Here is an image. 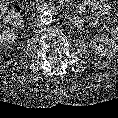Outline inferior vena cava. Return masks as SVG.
<instances>
[{"label": "inferior vena cava", "mask_w": 118, "mask_h": 118, "mask_svg": "<svg viewBox=\"0 0 118 118\" xmlns=\"http://www.w3.org/2000/svg\"><path fill=\"white\" fill-rule=\"evenodd\" d=\"M35 23H36L37 25H41L40 19H37Z\"/></svg>", "instance_id": "602c4592"}]
</instances>
